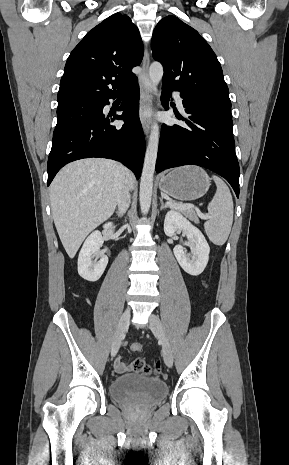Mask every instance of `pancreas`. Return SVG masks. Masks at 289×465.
I'll return each instance as SVG.
<instances>
[{
	"mask_svg": "<svg viewBox=\"0 0 289 465\" xmlns=\"http://www.w3.org/2000/svg\"><path fill=\"white\" fill-rule=\"evenodd\" d=\"M181 213H183L187 218H189L191 221L198 223L199 219L197 217L196 212L193 209H179Z\"/></svg>",
	"mask_w": 289,
	"mask_h": 465,
	"instance_id": "obj_1",
	"label": "pancreas"
}]
</instances>
